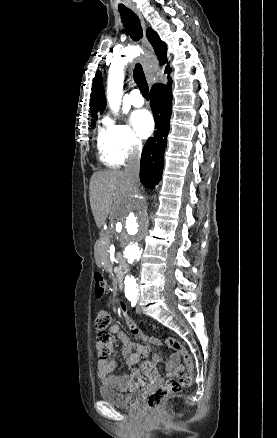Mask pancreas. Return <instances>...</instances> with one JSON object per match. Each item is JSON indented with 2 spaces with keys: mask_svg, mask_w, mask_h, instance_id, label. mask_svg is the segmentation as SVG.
I'll use <instances>...</instances> for the list:
<instances>
[{
  "mask_svg": "<svg viewBox=\"0 0 277 438\" xmlns=\"http://www.w3.org/2000/svg\"><path fill=\"white\" fill-rule=\"evenodd\" d=\"M112 239V232L111 231H102L101 232V239H96L95 246L99 253H106L105 257L107 258L104 261V264L107 267H111L114 264V261L112 258L114 257V254L109 251L110 250V241Z\"/></svg>",
  "mask_w": 277,
  "mask_h": 438,
  "instance_id": "pancreas-1",
  "label": "pancreas"
}]
</instances>
